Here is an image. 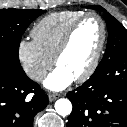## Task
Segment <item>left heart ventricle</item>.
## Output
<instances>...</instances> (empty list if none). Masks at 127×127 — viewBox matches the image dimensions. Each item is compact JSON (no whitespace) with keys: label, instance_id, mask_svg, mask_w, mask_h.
Segmentation results:
<instances>
[{"label":"left heart ventricle","instance_id":"b2bd125f","mask_svg":"<svg viewBox=\"0 0 127 127\" xmlns=\"http://www.w3.org/2000/svg\"><path fill=\"white\" fill-rule=\"evenodd\" d=\"M101 25L95 18H87L75 31L58 67L63 68L74 78L83 73L91 63L101 40Z\"/></svg>","mask_w":127,"mask_h":127}]
</instances>
